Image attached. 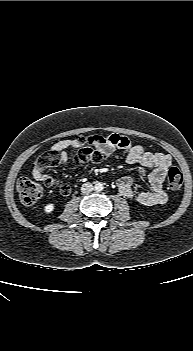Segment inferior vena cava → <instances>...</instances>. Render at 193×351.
Segmentation results:
<instances>
[{
    "label": "inferior vena cava",
    "instance_id": "obj_1",
    "mask_svg": "<svg viewBox=\"0 0 193 351\" xmlns=\"http://www.w3.org/2000/svg\"><path fill=\"white\" fill-rule=\"evenodd\" d=\"M94 190V187L91 183L87 182L84 183L81 187V192L84 194H89L90 192H92Z\"/></svg>",
    "mask_w": 193,
    "mask_h": 351
}]
</instances>
